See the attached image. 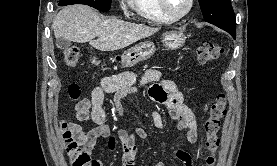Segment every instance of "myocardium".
I'll use <instances>...</instances> for the list:
<instances>
[{"mask_svg":"<svg viewBox=\"0 0 277 166\" xmlns=\"http://www.w3.org/2000/svg\"><path fill=\"white\" fill-rule=\"evenodd\" d=\"M157 1H158L160 10L163 12L165 16H167L172 21L180 20L186 17L191 12L194 6V0H188L187 8L183 12L176 14L169 9L166 0H157Z\"/></svg>","mask_w":277,"mask_h":166,"instance_id":"myocardium-1","label":"myocardium"}]
</instances>
